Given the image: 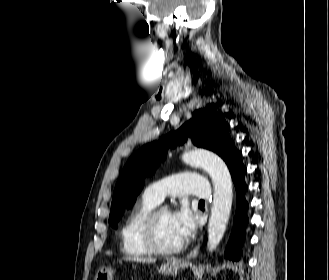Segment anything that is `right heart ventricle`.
Segmentation results:
<instances>
[{
    "label": "right heart ventricle",
    "mask_w": 329,
    "mask_h": 280,
    "mask_svg": "<svg viewBox=\"0 0 329 280\" xmlns=\"http://www.w3.org/2000/svg\"><path fill=\"white\" fill-rule=\"evenodd\" d=\"M158 203L144 193L130 210L120 229L121 249L124 254L130 257H142L150 254L142 238V226L148 214Z\"/></svg>",
    "instance_id": "right-heart-ventricle-1"
}]
</instances>
